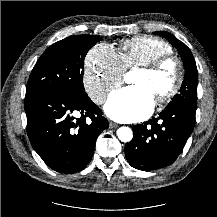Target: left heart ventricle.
<instances>
[{
    "mask_svg": "<svg viewBox=\"0 0 217 217\" xmlns=\"http://www.w3.org/2000/svg\"><path fill=\"white\" fill-rule=\"evenodd\" d=\"M132 85L146 88L154 99L166 92L173 83L172 68L165 67L158 75H150L143 71H138L131 80Z\"/></svg>",
    "mask_w": 217,
    "mask_h": 217,
    "instance_id": "left-heart-ventricle-1",
    "label": "left heart ventricle"
}]
</instances>
